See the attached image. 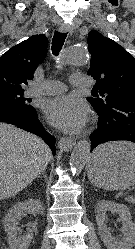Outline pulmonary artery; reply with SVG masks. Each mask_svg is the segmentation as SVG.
<instances>
[{"label":"pulmonary artery","instance_id":"e3ab8cb5","mask_svg":"<svg viewBox=\"0 0 135 249\" xmlns=\"http://www.w3.org/2000/svg\"><path fill=\"white\" fill-rule=\"evenodd\" d=\"M70 84L75 88L92 87L93 81L89 77L80 74H74L70 77ZM66 86L60 81L49 80L42 85L36 86L28 90L29 95H55L66 91Z\"/></svg>","mask_w":135,"mask_h":249}]
</instances>
